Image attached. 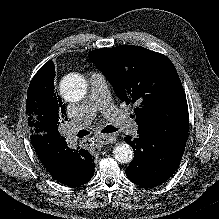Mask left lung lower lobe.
<instances>
[{
    "mask_svg": "<svg viewBox=\"0 0 219 219\" xmlns=\"http://www.w3.org/2000/svg\"><path fill=\"white\" fill-rule=\"evenodd\" d=\"M139 137H125L134 150V159L126 169L127 177L135 184L150 188L167 181L178 168L185 145L155 134L138 133Z\"/></svg>",
    "mask_w": 219,
    "mask_h": 219,
    "instance_id": "0a47b994",
    "label": "left lung lower lobe"
}]
</instances>
